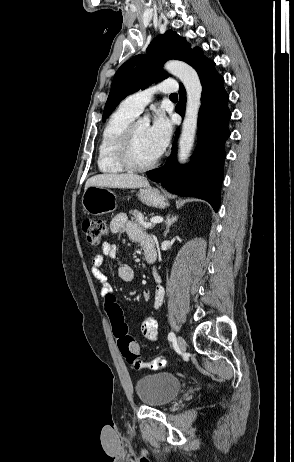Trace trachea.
Segmentation results:
<instances>
[{"mask_svg": "<svg viewBox=\"0 0 294 462\" xmlns=\"http://www.w3.org/2000/svg\"><path fill=\"white\" fill-rule=\"evenodd\" d=\"M170 98H172V99H177V98H178V95L175 94V93H174V94H171V95H170Z\"/></svg>", "mask_w": 294, "mask_h": 462, "instance_id": "obj_1", "label": "trachea"}]
</instances>
